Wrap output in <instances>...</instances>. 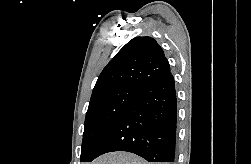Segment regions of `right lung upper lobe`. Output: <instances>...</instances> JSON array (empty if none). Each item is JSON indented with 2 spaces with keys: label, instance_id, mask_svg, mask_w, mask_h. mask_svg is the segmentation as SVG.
I'll use <instances>...</instances> for the list:
<instances>
[{
  "label": "right lung upper lobe",
  "instance_id": "cb5924a9",
  "mask_svg": "<svg viewBox=\"0 0 251 164\" xmlns=\"http://www.w3.org/2000/svg\"><path fill=\"white\" fill-rule=\"evenodd\" d=\"M170 72L162 48L151 37L129 41L106 65L98 77L91 99L122 88H142Z\"/></svg>",
  "mask_w": 251,
  "mask_h": 164
}]
</instances>
